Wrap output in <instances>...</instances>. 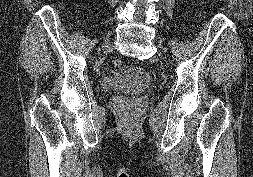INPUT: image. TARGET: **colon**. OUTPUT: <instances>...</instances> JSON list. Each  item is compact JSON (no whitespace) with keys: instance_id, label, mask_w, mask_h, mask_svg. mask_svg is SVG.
Masks as SVG:
<instances>
[{"instance_id":"5ec220e1","label":"colon","mask_w":253,"mask_h":177,"mask_svg":"<svg viewBox=\"0 0 253 177\" xmlns=\"http://www.w3.org/2000/svg\"><path fill=\"white\" fill-rule=\"evenodd\" d=\"M113 65L115 68H120L122 66V61L120 59H115Z\"/></svg>"}]
</instances>
